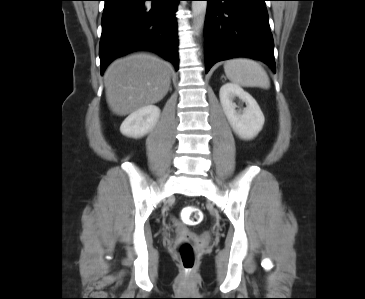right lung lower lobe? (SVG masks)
<instances>
[{
  "label": "right lung lower lobe",
  "instance_id": "right-lung-lower-lobe-1",
  "mask_svg": "<svg viewBox=\"0 0 365 299\" xmlns=\"http://www.w3.org/2000/svg\"><path fill=\"white\" fill-rule=\"evenodd\" d=\"M99 47L101 75L116 58L149 50L178 70L175 12L180 0H104Z\"/></svg>",
  "mask_w": 365,
  "mask_h": 299
}]
</instances>
